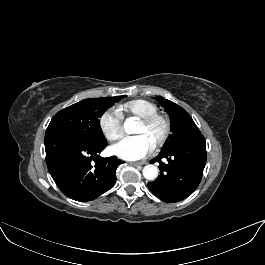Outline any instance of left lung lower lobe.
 Wrapping results in <instances>:
<instances>
[{"label":"left lung lower lobe","instance_id":"obj_1","mask_svg":"<svg viewBox=\"0 0 265 265\" xmlns=\"http://www.w3.org/2000/svg\"><path fill=\"white\" fill-rule=\"evenodd\" d=\"M163 159L167 162H163ZM206 159L203 135L161 151L151 160L152 163L160 164V175L148 183L149 189L156 197L168 203L185 199L198 187Z\"/></svg>","mask_w":265,"mask_h":265}]
</instances>
